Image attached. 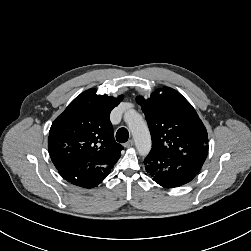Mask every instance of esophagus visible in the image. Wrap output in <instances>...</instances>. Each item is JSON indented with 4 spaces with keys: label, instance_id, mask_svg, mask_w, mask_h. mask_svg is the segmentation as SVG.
I'll list each match as a JSON object with an SVG mask.
<instances>
[{
    "label": "esophagus",
    "instance_id": "esophagus-1",
    "mask_svg": "<svg viewBox=\"0 0 251 251\" xmlns=\"http://www.w3.org/2000/svg\"><path fill=\"white\" fill-rule=\"evenodd\" d=\"M133 145H134V141L131 139V140H129L128 142H126L124 146H125L126 148H130V147H132Z\"/></svg>",
    "mask_w": 251,
    "mask_h": 251
}]
</instances>
